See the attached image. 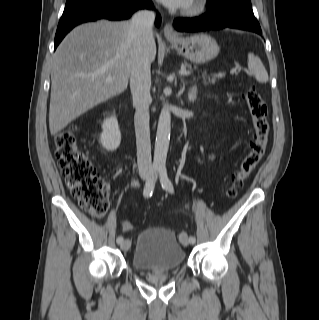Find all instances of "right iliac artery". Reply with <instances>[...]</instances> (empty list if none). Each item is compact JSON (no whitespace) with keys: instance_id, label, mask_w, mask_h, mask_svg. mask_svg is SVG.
Returning a JSON list of instances; mask_svg holds the SVG:
<instances>
[{"instance_id":"82829eb1","label":"right iliac artery","mask_w":319,"mask_h":320,"mask_svg":"<svg viewBox=\"0 0 319 320\" xmlns=\"http://www.w3.org/2000/svg\"><path fill=\"white\" fill-rule=\"evenodd\" d=\"M156 170H157L156 168L152 170L151 176L147 180L146 185L144 187L143 195L145 198L150 197L153 193L154 186H155L154 175L156 173ZM116 241L118 244H121L124 241V238L122 236H118Z\"/></svg>"}]
</instances>
